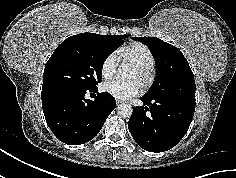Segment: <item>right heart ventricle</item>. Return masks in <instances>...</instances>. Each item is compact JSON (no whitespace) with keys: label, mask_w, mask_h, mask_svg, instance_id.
Returning <instances> with one entry per match:
<instances>
[{"label":"right heart ventricle","mask_w":236,"mask_h":178,"mask_svg":"<svg viewBox=\"0 0 236 178\" xmlns=\"http://www.w3.org/2000/svg\"><path fill=\"white\" fill-rule=\"evenodd\" d=\"M118 59L131 64L139 63L153 67L155 58L151 50L142 43H131L118 51Z\"/></svg>","instance_id":"e07e8e85"}]
</instances>
